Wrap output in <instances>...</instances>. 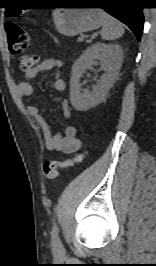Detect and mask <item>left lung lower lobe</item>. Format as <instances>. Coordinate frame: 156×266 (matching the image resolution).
Segmentation results:
<instances>
[{
  "mask_svg": "<svg viewBox=\"0 0 156 266\" xmlns=\"http://www.w3.org/2000/svg\"><path fill=\"white\" fill-rule=\"evenodd\" d=\"M69 3L91 5L104 9L107 13L126 24L137 39L140 40L144 17L142 7L137 4L136 0H69Z\"/></svg>",
  "mask_w": 156,
  "mask_h": 266,
  "instance_id": "left-lung-lower-lobe-1",
  "label": "left lung lower lobe"
}]
</instances>
